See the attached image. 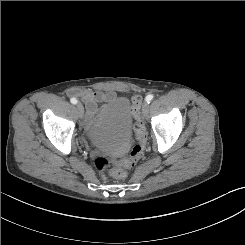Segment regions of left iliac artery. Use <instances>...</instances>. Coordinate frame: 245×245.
<instances>
[{
    "label": "left iliac artery",
    "instance_id": "1",
    "mask_svg": "<svg viewBox=\"0 0 245 245\" xmlns=\"http://www.w3.org/2000/svg\"><path fill=\"white\" fill-rule=\"evenodd\" d=\"M153 98H154V95H152V94L147 95L146 98H145V101H146L147 103H150V102L153 100Z\"/></svg>",
    "mask_w": 245,
    "mask_h": 245
}]
</instances>
